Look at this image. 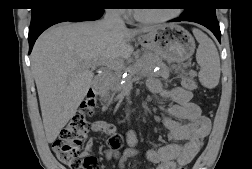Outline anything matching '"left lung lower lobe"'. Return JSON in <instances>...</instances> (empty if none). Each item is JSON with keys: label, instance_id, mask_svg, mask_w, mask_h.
I'll list each match as a JSON object with an SVG mask.
<instances>
[{"label": "left lung lower lobe", "instance_id": "1", "mask_svg": "<svg viewBox=\"0 0 252 169\" xmlns=\"http://www.w3.org/2000/svg\"><path fill=\"white\" fill-rule=\"evenodd\" d=\"M180 21H190L205 26L216 36V38L220 42L221 32L216 14L197 15L193 17L181 16L180 18L174 19L171 22H180Z\"/></svg>", "mask_w": 252, "mask_h": 169}]
</instances>
